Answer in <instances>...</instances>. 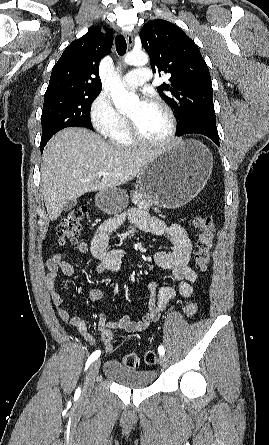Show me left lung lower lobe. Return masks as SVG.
<instances>
[{
  "label": "left lung lower lobe",
  "instance_id": "left-lung-lower-lobe-1",
  "mask_svg": "<svg viewBox=\"0 0 269 445\" xmlns=\"http://www.w3.org/2000/svg\"><path fill=\"white\" fill-rule=\"evenodd\" d=\"M193 133L205 135L208 138H210L213 142H215L218 146L220 145L216 122L214 121L205 120L193 123L183 131H180L178 136H182L184 134H193Z\"/></svg>",
  "mask_w": 269,
  "mask_h": 445
}]
</instances>
